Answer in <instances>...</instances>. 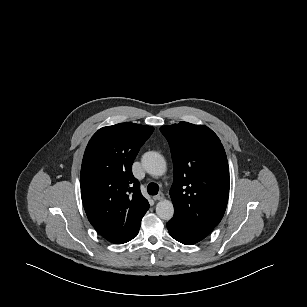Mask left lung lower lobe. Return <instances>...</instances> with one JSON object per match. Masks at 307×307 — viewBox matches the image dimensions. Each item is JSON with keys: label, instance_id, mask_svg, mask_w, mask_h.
<instances>
[{"label": "left lung lower lobe", "instance_id": "0a47b994", "mask_svg": "<svg viewBox=\"0 0 307 307\" xmlns=\"http://www.w3.org/2000/svg\"><path fill=\"white\" fill-rule=\"evenodd\" d=\"M166 225L169 234L175 240L183 244L186 245L195 244L205 238V236L198 234L189 229L188 227H186L181 221H179L176 218H172Z\"/></svg>", "mask_w": 307, "mask_h": 307}]
</instances>
